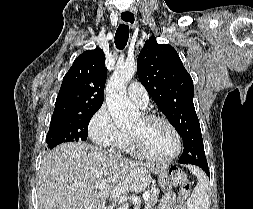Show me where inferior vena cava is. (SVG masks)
Here are the masks:
<instances>
[{"instance_id":"inferior-vena-cava-1","label":"inferior vena cava","mask_w":253,"mask_h":209,"mask_svg":"<svg viewBox=\"0 0 253 209\" xmlns=\"http://www.w3.org/2000/svg\"><path fill=\"white\" fill-rule=\"evenodd\" d=\"M108 153H109L111 156L115 157V158H121V155H120L119 153H117L113 148H110V149L108 150Z\"/></svg>"}]
</instances>
